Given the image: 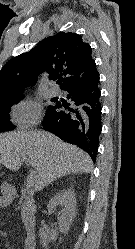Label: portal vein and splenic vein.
I'll list each match as a JSON object with an SVG mask.
<instances>
[{
    "instance_id": "18ae733b",
    "label": "portal vein and splenic vein",
    "mask_w": 135,
    "mask_h": 249,
    "mask_svg": "<svg viewBox=\"0 0 135 249\" xmlns=\"http://www.w3.org/2000/svg\"><path fill=\"white\" fill-rule=\"evenodd\" d=\"M23 162H25V164L29 165L30 164V161L28 158L26 157H23ZM34 179H35V176H34V172H31L29 174V176L27 177V186L28 187H31L34 185Z\"/></svg>"
}]
</instances>
